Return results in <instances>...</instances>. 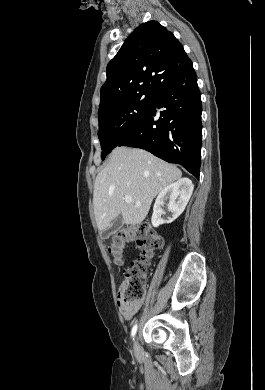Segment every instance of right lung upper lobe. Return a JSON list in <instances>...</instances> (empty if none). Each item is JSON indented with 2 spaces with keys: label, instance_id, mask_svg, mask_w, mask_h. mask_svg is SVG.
<instances>
[{
  "label": "right lung upper lobe",
  "instance_id": "right-lung-upper-lobe-1",
  "mask_svg": "<svg viewBox=\"0 0 265 390\" xmlns=\"http://www.w3.org/2000/svg\"><path fill=\"white\" fill-rule=\"evenodd\" d=\"M191 63L181 43L157 21L138 26L107 65L99 111L131 96L154 94Z\"/></svg>",
  "mask_w": 265,
  "mask_h": 390
}]
</instances>
